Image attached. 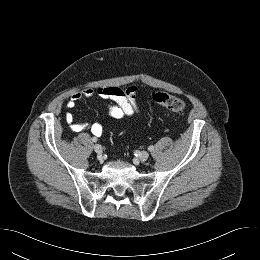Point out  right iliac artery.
<instances>
[{"label": "right iliac artery", "mask_w": 260, "mask_h": 260, "mask_svg": "<svg viewBox=\"0 0 260 260\" xmlns=\"http://www.w3.org/2000/svg\"><path fill=\"white\" fill-rule=\"evenodd\" d=\"M92 141H93V142H96V141H97V139H96L95 137H93V138H92Z\"/></svg>", "instance_id": "1"}]
</instances>
